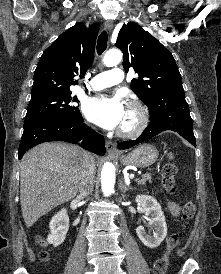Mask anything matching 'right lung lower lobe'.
<instances>
[{"label": "right lung lower lobe", "instance_id": "98d812e1", "mask_svg": "<svg viewBox=\"0 0 221 274\" xmlns=\"http://www.w3.org/2000/svg\"><path fill=\"white\" fill-rule=\"evenodd\" d=\"M48 141L81 143L84 149L98 155H104L106 151L103 136L88 127L83 118L73 120L63 116H53L24 123L19 159L30 148Z\"/></svg>", "mask_w": 221, "mask_h": 274}]
</instances>
